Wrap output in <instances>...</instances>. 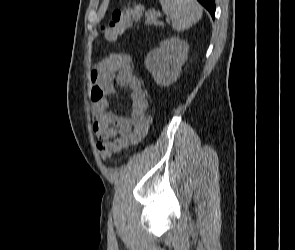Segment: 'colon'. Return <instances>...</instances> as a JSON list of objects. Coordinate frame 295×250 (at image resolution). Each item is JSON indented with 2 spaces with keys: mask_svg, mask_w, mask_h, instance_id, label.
I'll use <instances>...</instances> for the list:
<instances>
[{
  "mask_svg": "<svg viewBox=\"0 0 295 250\" xmlns=\"http://www.w3.org/2000/svg\"><path fill=\"white\" fill-rule=\"evenodd\" d=\"M141 12L142 8L139 5H133L124 10H115L108 24L101 26V32L107 40H115L126 32L133 21H135L141 15ZM150 122L151 117L147 116L144 121L135 126V145L146 136ZM96 147L103 160L108 159L113 154L123 149L121 142L116 140L98 142Z\"/></svg>",
  "mask_w": 295,
  "mask_h": 250,
  "instance_id": "5ec220e1",
  "label": "colon"
}]
</instances>
